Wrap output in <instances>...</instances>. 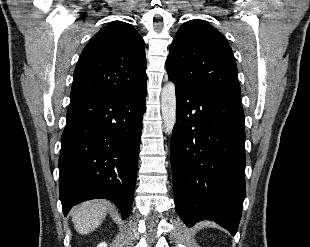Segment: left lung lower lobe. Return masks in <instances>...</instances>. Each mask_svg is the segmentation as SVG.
Wrapping results in <instances>:
<instances>
[{
    "mask_svg": "<svg viewBox=\"0 0 310 247\" xmlns=\"http://www.w3.org/2000/svg\"><path fill=\"white\" fill-rule=\"evenodd\" d=\"M174 83L170 147L176 211L189 227L209 218L235 235L245 198L241 102Z\"/></svg>",
    "mask_w": 310,
    "mask_h": 247,
    "instance_id": "0a47b994",
    "label": "left lung lower lobe"
}]
</instances>
